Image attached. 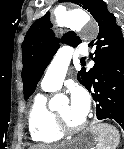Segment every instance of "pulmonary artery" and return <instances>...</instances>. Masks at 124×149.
Here are the masks:
<instances>
[{
    "instance_id": "obj_1",
    "label": "pulmonary artery",
    "mask_w": 124,
    "mask_h": 149,
    "mask_svg": "<svg viewBox=\"0 0 124 149\" xmlns=\"http://www.w3.org/2000/svg\"><path fill=\"white\" fill-rule=\"evenodd\" d=\"M74 55L86 56L87 49L78 45L75 48L66 46L59 50L44 75L42 88L45 91H55L61 87L66 77L70 60Z\"/></svg>"
}]
</instances>
